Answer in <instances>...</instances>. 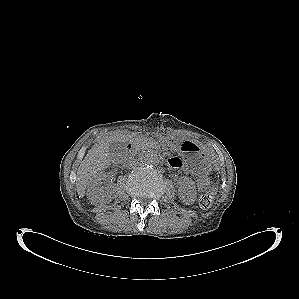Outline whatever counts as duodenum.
<instances>
[{
    "instance_id": "1",
    "label": "duodenum",
    "mask_w": 299,
    "mask_h": 299,
    "mask_svg": "<svg viewBox=\"0 0 299 299\" xmlns=\"http://www.w3.org/2000/svg\"><path fill=\"white\" fill-rule=\"evenodd\" d=\"M127 150L131 154L135 151V144L133 142H129L127 145Z\"/></svg>"
}]
</instances>
